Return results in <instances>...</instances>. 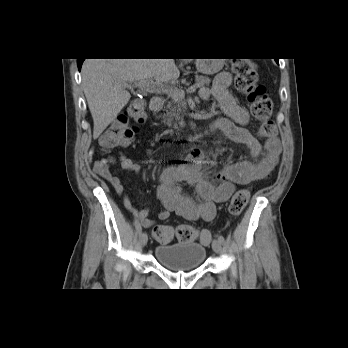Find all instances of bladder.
Wrapping results in <instances>:
<instances>
[{
  "label": "bladder",
  "mask_w": 348,
  "mask_h": 348,
  "mask_svg": "<svg viewBox=\"0 0 348 348\" xmlns=\"http://www.w3.org/2000/svg\"><path fill=\"white\" fill-rule=\"evenodd\" d=\"M156 259L172 271H190L201 266L206 249L197 242L162 244L155 248Z\"/></svg>",
  "instance_id": "31cf9c89"
}]
</instances>
